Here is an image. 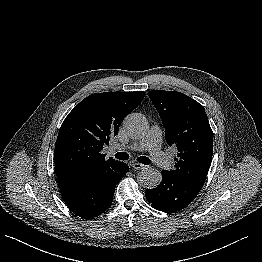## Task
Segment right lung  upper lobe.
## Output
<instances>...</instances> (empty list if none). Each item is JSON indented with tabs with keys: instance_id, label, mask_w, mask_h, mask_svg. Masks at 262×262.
Segmentation results:
<instances>
[{
	"instance_id": "right-lung-upper-lobe-1",
	"label": "right lung upper lobe",
	"mask_w": 262,
	"mask_h": 262,
	"mask_svg": "<svg viewBox=\"0 0 262 262\" xmlns=\"http://www.w3.org/2000/svg\"><path fill=\"white\" fill-rule=\"evenodd\" d=\"M144 96L143 91L105 92L92 94L77 104L62 123L56 140L58 181H75L116 169L122 162L111 157L106 160L101 151Z\"/></svg>"
}]
</instances>
